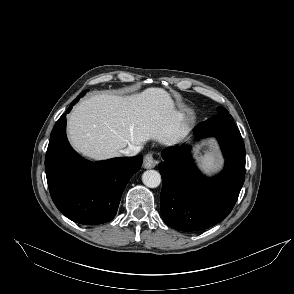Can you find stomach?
<instances>
[{
  "mask_svg": "<svg viewBox=\"0 0 294 294\" xmlns=\"http://www.w3.org/2000/svg\"><path fill=\"white\" fill-rule=\"evenodd\" d=\"M187 130V125H186V127H185V131Z\"/></svg>",
  "mask_w": 294,
  "mask_h": 294,
  "instance_id": "0dacf381",
  "label": "stomach"
}]
</instances>
